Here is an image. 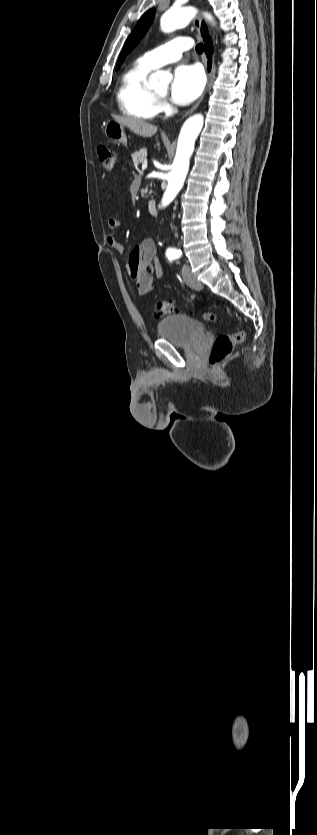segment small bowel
I'll return each mask as SVG.
<instances>
[{"label":"small bowel","mask_w":317,"mask_h":835,"mask_svg":"<svg viewBox=\"0 0 317 835\" xmlns=\"http://www.w3.org/2000/svg\"><path fill=\"white\" fill-rule=\"evenodd\" d=\"M121 221L116 217H110L107 221L109 234L107 236V243L119 254L125 253V247L120 243L114 232L120 227ZM128 272L130 276L136 279L138 291L141 294L148 293L153 287V276L160 279L163 276V270L157 258V247L152 239H144L139 244L134 246L127 255ZM144 263L152 265V273L146 274L141 270Z\"/></svg>","instance_id":"obj_1"}]
</instances>
